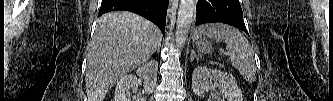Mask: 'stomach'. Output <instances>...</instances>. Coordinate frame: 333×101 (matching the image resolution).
I'll return each mask as SVG.
<instances>
[{
	"label": "stomach",
	"instance_id": "1",
	"mask_svg": "<svg viewBox=\"0 0 333 101\" xmlns=\"http://www.w3.org/2000/svg\"><path fill=\"white\" fill-rule=\"evenodd\" d=\"M210 37H206L204 36L199 37L198 39H196V46H197V50L200 53H206V54H211L213 47H212V41L209 39Z\"/></svg>",
	"mask_w": 333,
	"mask_h": 101
}]
</instances>
